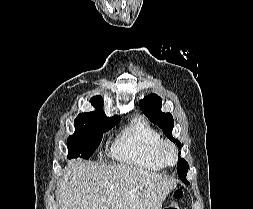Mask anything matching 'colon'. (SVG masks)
Returning a JSON list of instances; mask_svg holds the SVG:
<instances>
[{"mask_svg":"<svg viewBox=\"0 0 253 209\" xmlns=\"http://www.w3.org/2000/svg\"><path fill=\"white\" fill-rule=\"evenodd\" d=\"M182 193H183L182 188L175 189L174 198L179 199L182 196ZM164 209H180V207L177 203H171L168 206H166Z\"/></svg>","mask_w":253,"mask_h":209,"instance_id":"1","label":"colon"}]
</instances>
